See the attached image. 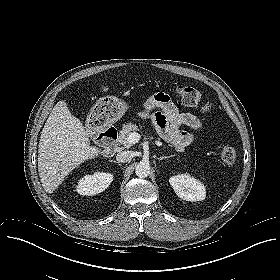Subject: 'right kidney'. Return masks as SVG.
Instances as JSON below:
<instances>
[{
	"label": "right kidney",
	"instance_id": "1",
	"mask_svg": "<svg viewBox=\"0 0 280 280\" xmlns=\"http://www.w3.org/2000/svg\"><path fill=\"white\" fill-rule=\"evenodd\" d=\"M113 181V175L105 172H96L86 175L78 181L76 191L80 195H95L103 192Z\"/></svg>",
	"mask_w": 280,
	"mask_h": 280
}]
</instances>
